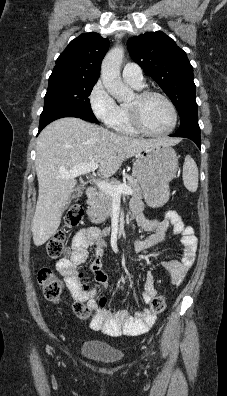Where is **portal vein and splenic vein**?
I'll return each instance as SVG.
<instances>
[{
  "mask_svg": "<svg viewBox=\"0 0 227 396\" xmlns=\"http://www.w3.org/2000/svg\"><path fill=\"white\" fill-rule=\"evenodd\" d=\"M98 163L91 162V163H83L75 166L70 171H62L60 172L61 178H75L77 176L89 173L91 171H95L98 168ZM97 187L105 192L106 194L111 195L112 197H120L122 194L132 195L133 190L125 185H113L104 180H97L95 181Z\"/></svg>",
  "mask_w": 227,
  "mask_h": 396,
  "instance_id": "18ae733b",
  "label": "portal vein and splenic vein"
}]
</instances>
